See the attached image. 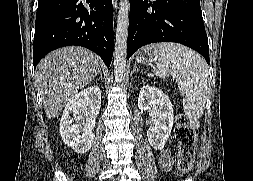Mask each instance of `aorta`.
I'll use <instances>...</instances> for the list:
<instances>
[{
	"label": "aorta",
	"instance_id": "1",
	"mask_svg": "<svg viewBox=\"0 0 253 181\" xmlns=\"http://www.w3.org/2000/svg\"><path fill=\"white\" fill-rule=\"evenodd\" d=\"M130 1L120 0L117 16L116 40L114 51V76L116 82H121L126 69L127 36L129 25Z\"/></svg>",
	"mask_w": 253,
	"mask_h": 181
}]
</instances>
